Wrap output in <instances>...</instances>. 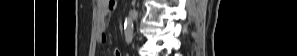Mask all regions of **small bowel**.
Returning <instances> with one entry per match:
<instances>
[{
    "label": "small bowel",
    "instance_id": "obj_1",
    "mask_svg": "<svg viewBox=\"0 0 297 56\" xmlns=\"http://www.w3.org/2000/svg\"><path fill=\"white\" fill-rule=\"evenodd\" d=\"M97 7H98V14L100 19V26H99L100 33H99L98 41L101 43H105L107 40V35H106L107 24H106L105 18L114 9L115 2L113 0H98ZM114 55L121 56V51L118 49L115 50Z\"/></svg>",
    "mask_w": 297,
    "mask_h": 56
}]
</instances>
